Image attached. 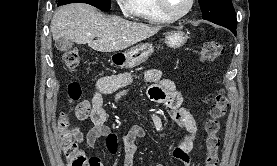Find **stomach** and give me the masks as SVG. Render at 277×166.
<instances>
[{"label":"stomach","mask_w":277,"mask_h":166,"mask_svg":"<svg viewBox=\"0 0 277 166\" xmlns=\"http://www.w3.org/2000/svg\"><path fill=\"white\" fill-rule=\"evenodd\" d=\"M187 35L183 31H171L166 34L165 43L168 47L178 48L187 41ZM154 52L150 43L138 44L124 52L114 53L110 61L113 65L125 68L136 67L145 62Z\"/></svg>","instance_id":"0dacf381"}]
</instances>
